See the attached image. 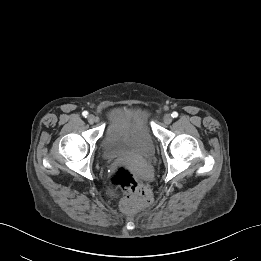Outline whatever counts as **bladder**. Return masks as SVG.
<instances>
[{
  "label": "bladder",
  "instance_id": "1",
  "mask_svg": "<svg viewBox=\"0 0 261 261\" xmlns=\"http://www.w3.org/2000/svg\"><path fill=\"white\" fill-rule=\"evenodd\" d=\"M122 123H109L100 140V150L105 160L149 158L155 152L156 141L144 110L136 105L122 108Z\"/></svg>",
  "mask_w": 261,
  "mask_h": 261
}]
</instances>
